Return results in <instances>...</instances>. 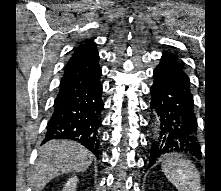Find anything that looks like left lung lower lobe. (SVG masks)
Returning a JSON list of instances; mask_svg holds the SVG:
<instances>
[{"label":"left lung lower lobe","mask_w":221,"mask_h":191,"mask_svg":"<svg viewBox=\"0 0 221 191\" xmlns=\"http://www.w3.org/2000/svg\"><path fill=\"white\" fill-rule=\"evenodd\" d=\"M153 76L151 106L160 117V131L151 147L148 167L160 157L176 152L200 159L198 125L184 63L176 55L165 52Z\"/></svg>","instance_id":"0a47b994"}]
</instances>
